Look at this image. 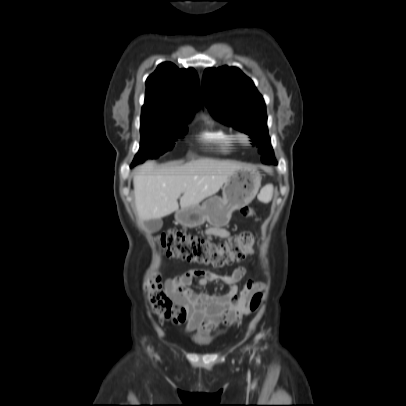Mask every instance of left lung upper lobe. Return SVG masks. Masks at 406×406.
Masks as SVG:
<instances>
[{
	"label": "left lung upper lobe",
	"mask_w": 406,
	"mask_h": 406,
	"mask_svg": "<svg viewBox=\"0 0 406 406\" xmlns=\"http://www.w3.org/2000/svg\"><path fill=\"white\" fill-rule=\"evenodd\" d=\"M202 96L214 118L251 135L264 163H277L268 136L264 100L248 77L228 66L206 69Z\"/></svg>",
	"instance_id": "1"
}]
</instances>
